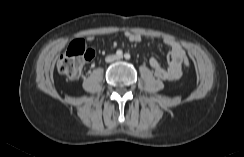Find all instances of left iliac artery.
Masks as SVG:
<instances>
[{
  "label": "left iliac artery",
  "mask_w": 244,
  "mask_h": 157,
  "mask_svg": "<svg viewBox=\"0 0 244 157\" xmlns=\"http://www.w3.org/2000/svg\"><path fill=\"white\" fill-rule=\"evenodd\" d=\"M124 57H125V59H127V60L131 58V56H130L129 53H126V54L124 55Z\"/></svg>",
  "instance_id": "obj_1"
}]
</instances>
